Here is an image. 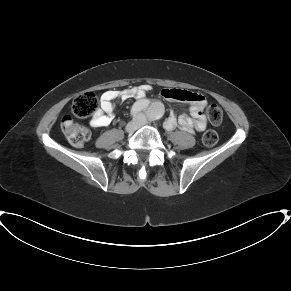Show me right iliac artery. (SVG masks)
<instances>
[{
    "label": "right iliac artery",
    "mask_w": 291,
    "mask_h": 291,
    "mask_svg": "<svg viewBox=\"0 0 291 291\" xmlns=\"http://www.w3.org/2000/svg\"><path fill=\"white\" fill-rule=\"evenodd\" d=\"M138 112H139V110L136 109L135 106H133L132 109H131V116H133V117L136 116V114H137Z\"/></svg>",
    "instance_id": "82829eb1"
}]
</instances>
